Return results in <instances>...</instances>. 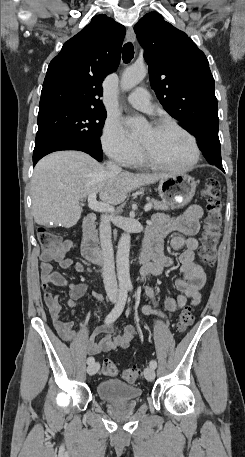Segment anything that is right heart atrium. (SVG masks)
Wrapping results in <instances>:
<instances>
[{"instance_id": "d8ad5b80", "label": "right heart atrium", "mask_w": 245, "mask_h": 457, "mask_svg": "<svg viewBox=\"0 0 245 457\" xmlns=\"http://www.w3.org/2000/svg\"><path fill=\"white\" fill-rule=\"evenodd\" d=\"M101 141L106 153L121 163L128 164L137 154V145L128 138L117 119L106 120Z\"/></svg>"}]
</instances>
